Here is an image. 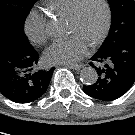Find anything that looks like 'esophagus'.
Masks as SVG:
<instances>
[{
    "label": "esophagus",
    "mask_w": 135,
    "mask_h": 135,
    "mask_svg": "<svg viewBox=\"0 0 135 135\" xmlns=\"http://www.w3.org/2000/svg\"><path fill=\"white\" fill-rule=\"evenodd\" d=\"M65 67H68V68H71V69H74V70H80L83 65L82 64H79V65H69V64H64Z\"/></svg>",
    "instance_id": "34e87169"
}]
</instances>
